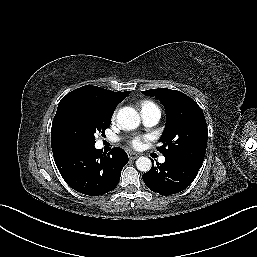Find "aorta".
Instances as JSON below:
<instances>
[{"label": "aorta", "instance_id": "762f6f07", "mask_svg": "<svg viewBox=\"0 0 257 257\" xmlns=\"http://www.w3.org/2000/svg\"><path fill=\"white\" fill-rule=\"evenodd\" d=\"M117 123L125 130H132L139 126V113L131 107H123L117 113ZM152 162L148 157H139L136 160V167L142 172H148L151 169Z\"/></svg>", "mask_w": 257, "mask_h": 257}]
</instances>
